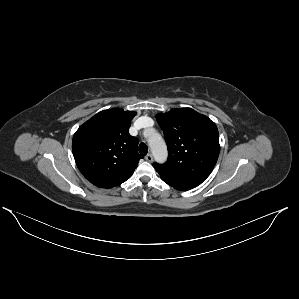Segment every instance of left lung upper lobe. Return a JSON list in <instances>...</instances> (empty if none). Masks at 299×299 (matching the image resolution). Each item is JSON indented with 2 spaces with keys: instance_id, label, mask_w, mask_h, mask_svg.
<instances>
[{
  "instance_id": "1",
  "label": "left lung upper lobe",
  "mask_w": 299,
  "mask_h": 299,
  "mask_svg": "<svg viewBox=\"0 0 299 299\" xmlns=\"http://www.w3.org/2000/svg\"><path fill=\"white\" fill-rule=\"evenodd\" d=\"M156 119L164 132L168 160L153 166L166 180L202 183L217 162L220 145L213 121L191 108L173 109Z\"/></svg>"
}]
</instances>
